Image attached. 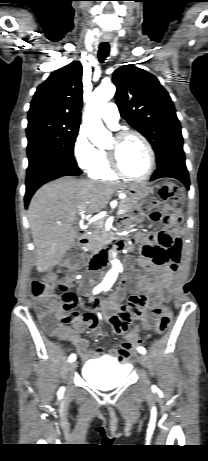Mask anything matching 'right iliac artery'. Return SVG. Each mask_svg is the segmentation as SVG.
<instances>
[{"label": "right iliac artery", "instance_id": "obj_1", "mask_svg": "<svg viewBox=\"0 0 208 461\" xmlns=\"http://www.w3.org/2000/svg\"><path fill=\"white\" fill-rule=\"evenodd\" d=\"M102 290H104V288H103L102 286H97V287H95L93 293H94V294H97V293H99V292L102 291ZM75 360H76V355H75V354H71L70 357H69V362H73V361H75ZM61 389H62V388H61ZM61 389H60V390H61Z\"/></svg>", "mask_w": 208, "mask_h": 461}]
</instances>
